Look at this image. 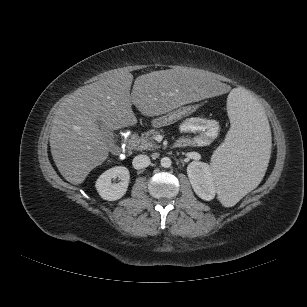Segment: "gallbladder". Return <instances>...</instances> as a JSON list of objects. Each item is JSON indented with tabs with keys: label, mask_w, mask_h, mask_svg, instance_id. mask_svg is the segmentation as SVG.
<instances>
[{
	"label": "gallbladder",
	"mask_w": 307,
	"mask_h": 307,
	"mask_svg": "<svg viewBox=\"0 0 307 307\" xmlns=\"http://www.w3.org/2000/svg\"><path fill=\"white\" fill-rule=\"evenodd\" d=\"M97 126L99 127V129L101 130L103 137L105 139L106 143H111L114 139V135H113V131L110 130L109 128H107V126L105 125V123L101 120H97L96 121Z\"/></svg>",
	"instance_id": "gallbladder-1"
}]
</instances>
